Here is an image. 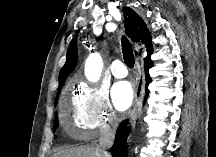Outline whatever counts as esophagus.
Returning a JSON list of instances; mask_svg holds the SVG:
<instances>
[{"label":"esophagus","instance_id":"esophagus-1","mask_svg":"<svg viewBox=\"0 0 216 157\" xmlns=\"http://www.w3.org/2000/svg\"><path fill=\"white\" fill-rule=\"evenodd\" d=\"M137 67L138 71L141 74L143 73V63L142 60L137 59ZM142 99H143V84L138 83L135 91V98H134V105L131 112V120L136 117L137 113L139 112L141 105H142ZM130 120V122H131Z\"/></svg>","mask_w":216,"mask_h":157}]
</instances>
